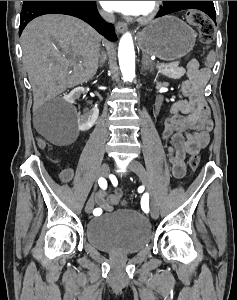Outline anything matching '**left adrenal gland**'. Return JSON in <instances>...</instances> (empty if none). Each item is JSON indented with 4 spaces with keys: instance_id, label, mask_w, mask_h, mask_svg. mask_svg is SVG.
Returning a JSON list of instances; mask_svg holds the SVG:
<instances>
[{
    "instance_id": "obj_1",
    "label": "left adrenal gland",
    "mask_w": 237,
    "mask_h": 300,
    "mask_svg": "<svg viewBox=\"0 0 237 300\" xmlns=\"http://www.w3.org/2000/svg\"><path fill=\"white\" fill-rule=\"evenodd\" d=\"M142 65H143V69H145V71H147V69H149V67H152V63H151L149 57H146V55H143V57H142Z\"/></svg>"
}]
</instances>
